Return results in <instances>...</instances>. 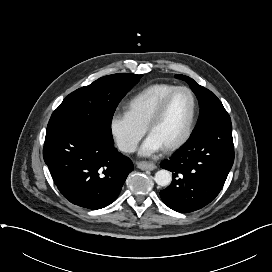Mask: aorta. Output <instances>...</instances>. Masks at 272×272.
I'll return each mask as SVG.
<instances>
[{
  "instance_id": "762f6f07",
  "label": "aorta",
  "mask_w": 272,
  "mask_h": 272,
  "mask_svg": "<svg viewBox=\"0 0 272 272\" xmlns=\"http://www.w3.org/2000/svg\"><path fill=\"white\" fill-rule=\"evenodd\" d=\"M154 180L159 186H167L172 181V175L168 170L162 169L156 172Z\"/></svg>"
}]
</instances>
